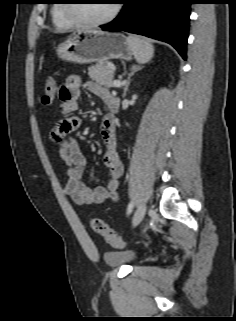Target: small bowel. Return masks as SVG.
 <instances>
[{"mask_svg": "<svg viewBox=\"0 0 236 321\" xmlns=\"http://www.w3.org/2000/svg\"><path fill=\"white\" fill-rule=\"evenodd\" d=\"M86 89L108 106L110 92L96 82H83L80 76L70 75L59 89V110L64 116L51 130V141L58 147L62 161L67 165L64 191L80 205L101 204L118 199L119 180L123 165L117 152V130L114 117L106 113L101 121V136L105 143L103 162L109 171L106 187L90 188L82 180L86 159L78 143L69 135L81 125V119L71 116L79 108L81 89Z\"/></svg>", "mask_w": 236, "mask_h": 321, "instance_id": "c3829d8e", "label": "small bowel"}]
</instances>
